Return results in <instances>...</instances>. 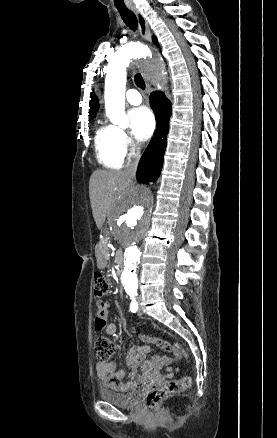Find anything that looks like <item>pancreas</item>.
<instances>
[{
  "instance_id": "obj_1",
  "label": "pancreas",
  "mask_w": 277,
  "mask_h": 438,
  "mask_svg": "<svg viewBox=\"0 0 277 438\" xmlns=\"http://www.w3.org/2000/svg\"><path fill=\"white\" fill-rule=\"evenodd\" d=\"M101 238L102 239H98L96 242L97 253H111L113 247L109 244L108 240L112 238V233L110 231H103L101 233Z\"/></svg>"
}]
</instances>
